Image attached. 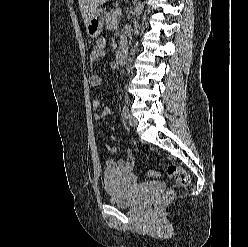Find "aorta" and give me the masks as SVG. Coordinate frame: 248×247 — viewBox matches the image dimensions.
Instances as JSON below:
<instances>
[{
  "mask_svg": "<svg viewBox=\"0 0 248 247\" xmlns=\"http://www.w3.org/2000/svg\"><path fill=\"white\" fill-rule=\"evenodd\" d=\"M143 3H142V0H138L137 3H136V6H135V10H134V13H135V16H136V19L138 20L140 18V15H141V12L143 10ZM135 20L134 21V28H137L138 26V21Z\"/></svg>",
  "mask_w": 248,
  "mask_h": 247,
  "instance_id": "1",
  "label": "aorta"
}]
</instances>
